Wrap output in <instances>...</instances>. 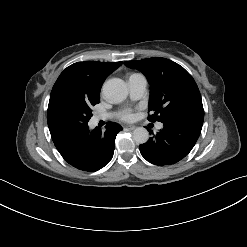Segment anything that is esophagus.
Wrapping results in <instances>:
<instances>
[{
    "label": "esophagus",
    "instance_id": "34e87169",
    "mask_svg": "<svg viewBox=\"0 0 247 247\" xmlns=\"http://www.w3.org/2000/svg\"><path fill=\"white\" fill-rule=\"evenodd\" d=\"M124 129H127V130H135L136 129V126L127 125V126L124 127Z\"/></svg>",
    "mask_w": 247,
    "mask_h": 247
}]
</instances>
